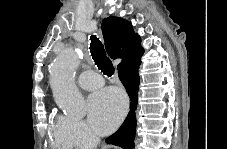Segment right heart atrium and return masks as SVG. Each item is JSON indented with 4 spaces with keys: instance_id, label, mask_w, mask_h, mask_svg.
<instances>
[{
    "instance_id": "right-heart-atrium-1",
    "label": "right heart atrium",
    "mask_w": 227,
    "mask_h": 149,
    "mask_svg": "<svg viewBox=\"0 0 227 149\" xmlns=\"http://www.w3.org/2000/svg\"><path fill=\"white\" fill-rule=\"evenodd\" d=\"M68 140L74 146H91L96 143V138L87 124L81 120L62 117Z\"/></svg>"
}]
</instances>
